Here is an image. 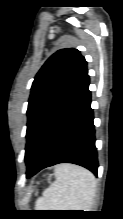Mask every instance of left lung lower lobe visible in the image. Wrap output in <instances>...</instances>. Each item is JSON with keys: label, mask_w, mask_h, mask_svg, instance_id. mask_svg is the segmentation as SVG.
<instances>
[{"label": "left lung lower lobe", "mask_w": 123, "mask_h": 219, "mask_svg": "<svg viewBox=\"0 0 123 219\" xmlns=\"http://www.w3.org/2000/svg\"><path fill=\"white\" fill-rule=\"evenodd\" d=\"M87 75L55 110L27 162V177L59 163H73L98 173L91 92Z\"/></svg>", "instance_id": "1"}]
</instances>
